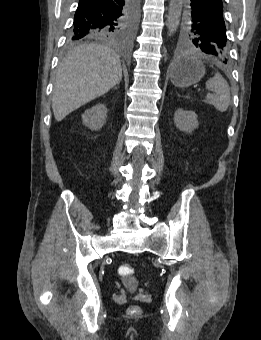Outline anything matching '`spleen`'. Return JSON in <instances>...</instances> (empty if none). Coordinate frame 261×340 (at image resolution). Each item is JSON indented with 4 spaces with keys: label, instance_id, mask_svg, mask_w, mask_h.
Segmentation results:
<instances>
[{
    "label": "spleen",
    "instance_id": "3e777b00",
    "mask_svg": "<svg viewBox=\"0 0 261 340\" xmlns=\"http://www.w3.org/2000/svg\"><path fill=\"white\" fill-rule=\"evenodd\" d=\"M206 88L214 92V94L207 95V101L211 103L216 110L225 112L231 102L230 88L227 81L220 73H216L213 78L206 82Z\"/></svg>",
    "mask_w": 261,
    "mask_h": 340
}]
</instances>
